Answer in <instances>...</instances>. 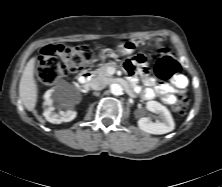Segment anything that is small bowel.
I'll use <instances>...</instances> for the list:
<instances>
[{
    "label": "small bowel",
    "instance_id": "1",
    "mask_svg": "<svg viewBox=\"0 0 222 187\" xmlns=\"http://www.w3.org/2000/svg\"><path fill=\"white\" fill-rule=\"evenodd\" d=\"M126 69L129 76L133 77L135 74L133 62H127ZM145 83L151 86L155 84V80L152 77L146 76ZM187 85L188 80L184 75H176L173 78V86L168 83L159 82L155 84L154 88L145 89L142 96L146 100H151L159 96L164 104L173 105L177 101V94L185 90Z\"/></svg>",
    "mask_w": 222,
    "mask_h": 187
}]
</instances>
